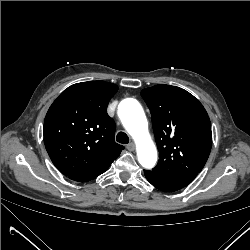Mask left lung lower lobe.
I'll list each match as a JSON object with an SVG mask.
<instances>
[{"mask_svg":"<svg viewBox=\"0 0 250 250\" xmlns=\"http://www.w3.org/2000/svg\"><path fill=\"white\" fill-rule=\"evenodd\" d=\"M145 177L157 189L172 192L190 184L197 173L164 174L145 170Z\"/></svg>","mask_w":250,"mask_h":250,"instance_id":"1","label":"left lung lower lobe"}]
</instances>
